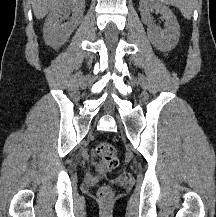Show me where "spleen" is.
Instances as JSON below:
<instances>
[{
	"mask_svg": "<svg viewBox=\"0 0 216 217\" xmlns=\"http://www.w3.org/2000/svg\"><path fill=\"white\" fill-rule=\"evenodd\" d=\"M161 3L177 7L186 19L192 16L195 0H159Z\"/></svg>",
	"mask_w": 216,
	"mask_h": 217,
	"instance_id": "spleen-1",
	"label": "spleen"
}]
</instances>
